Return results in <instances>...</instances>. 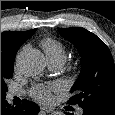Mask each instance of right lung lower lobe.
I'll use <instances>...</instances> for the list:
<instances>
[{
    "mask_svg": "<svg viewBox=\"0 0 115 115\" xmlns=\"http://www.w3.org/2000/svg\"><path fill=\"white\" fill-rule=\"evenodd\" d=\"M39 112V107L36 103L23 100V104L19 106H11L4 99H1V115H35Z\"/></svg>",
    "mask_w": 115,
    "mask_h": 115,
    "instance_id": "98d812e1",
    "label": "right lung lower lobe"
}]
</instances>
